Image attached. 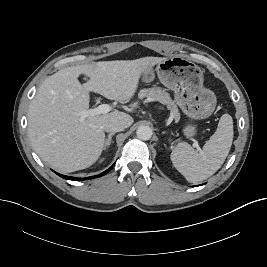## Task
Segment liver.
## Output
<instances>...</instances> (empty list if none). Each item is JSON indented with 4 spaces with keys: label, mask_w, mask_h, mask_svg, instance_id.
Here are the masks:
<instances>
[{
    "label": "liver",
    "mask_w": 267,
    "mask_h": 267,
    "mask_svg": "<svg viewBox=\"0 0 267 267\" xmlns=\"http://www.w3.org/2000/svg\"><path fill=\"white\" fill-rule=\"evenodd\" d=\"M164 59L102 61L67 67L49 76L28 110V136L35 152L61 172L90 167L104 149L106 122L118 119L129 127L134 120L120 111L82 118L81 113L89 109V93L127 102L137 91L142 73ZM81 74L89 77L84 85L78 80Z\"/></svg>",
    "instance_id": "1"
}]
</instances>
